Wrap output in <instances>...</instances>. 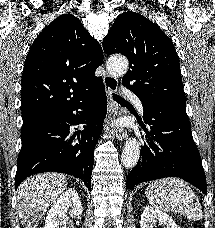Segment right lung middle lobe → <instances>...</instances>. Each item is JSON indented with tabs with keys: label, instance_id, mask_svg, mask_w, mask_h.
<instances>
[{
	"label": "right lung middle lobe",
	"instance_id": "1",
	"mask_svg": "<svg viewBox=\"0 0 215 228\" xmlns=\"http://www.w3.org/2000/svg\"><path fill=\"white\" fill-rule=\"evenodd\" d=\"M41 121H42V120L36 121V122H32V123L23 124V125H22V131L27 130L28 128L32 127L33 125H35V124H37V123H39V122H41Z\"/></svg>",
	"mask_w": 215,
	"mask_h": 228
}]
</instances>
